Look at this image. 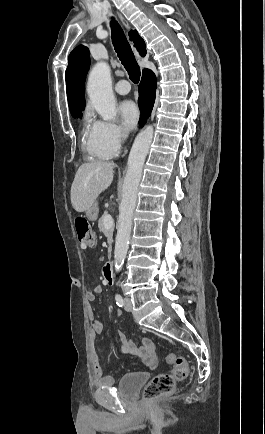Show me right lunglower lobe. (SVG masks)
Segmentation results:
<instances>
[{
    "mask_svg": "<svg viewBox=\"0 0 265 434\" xmlns=\"http://www.w3.org/2000/svg\"><path fill=\"white\" fill-rule=\"evenodd\" d=\"M156 78L152 71L143 70L139 85V108L141 111L140 125H143L151 113L155 101Z\"/></svg>",
    "mask_w": 265,
    "mask_h": 434,
    "instance_id": "obj_1",
    "label": "right lung lower lobe"
}]
</instances>
